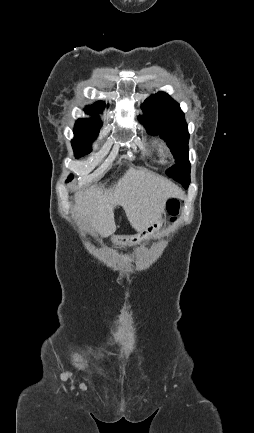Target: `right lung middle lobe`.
Masks as SVG:
<instances>
[{
	"label": "right lung middle lobe",
	"mask_w": 254,
	"mask_h": 433,
	"mask_svg": "<svg viewBox=\"0 0 254 433\" xmlns=\"http://www.w3.org/2000/svg\"><path fill=\"white\" fill-rule=\"evenodd\" d=\"M94 115L91 120L79 119L74 127L75 138L72 146L77 158L88 154L91 151V143L97 138L102 122L99 120L96 111H86Z\"/></svg>",
	"instance_id": "dd1d6c3e"
}]
</instances>
